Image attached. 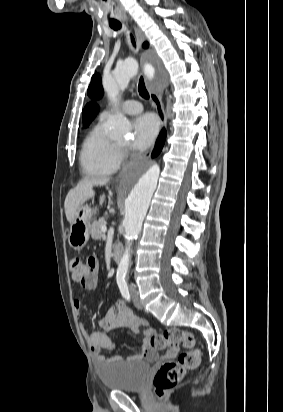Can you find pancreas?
<instances>
[{"instance_id": "obj_1", "label": "pancreas", "mask_w": 283, "mask_h": 412, "mask_svg": "<svg viewBox=\"0 0 283 412\" xmlns=\"http://www.w3.org/2000/svg\"><path fill=\"white\" fill-rule=\"evenodd\" d=\"M105 219H99L94 221L90 228V234L93 239H100L101 238V226L105 225Z\"/></svg>"}]
</instances>
